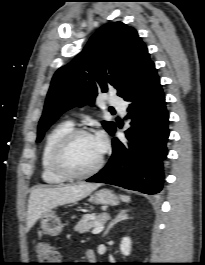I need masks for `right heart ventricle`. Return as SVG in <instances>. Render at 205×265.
I'll return each mask as SVG.
<instances>
[{"mask_svg": "<svg viewBox=\"0 0 205 265\" xmlns=\"http://www.w3.org/2000/svg\"><path fill=\"white\" fill-rule=\"evenodd\" d=\"M71 129H73V124L64 121L54 126L45 137L41 152V177L48 184H62L66 180L54 172L50 164V156L59 139Z\"/></svg>", "mask_w": 205, "mask_h": 265, "instance_id": "e07e8e85", "label": "right heart ventricle"}]
</instances>
